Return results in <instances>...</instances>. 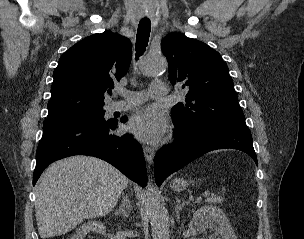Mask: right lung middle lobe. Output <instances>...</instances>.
Listing matches in <instances>:
<instances>
[{
	"label": "right lung middle lobe",
	"instance_id": "right-lung-middle-lobe-1",
	"mask_svg": "<svg viewBox=\"0 0 304 239\" xmlns=\"http://www.w3.org/2000/svg\"><path fill=\"white\" fill-rule=\"evenodd\" d=\"M104 113L105 111L103 110V108H97L72 115L47 118L44 121L43 127L50 125H57V124L95 123V122L106 121L104 119Z\"/></svg>",
	"mask_w": 304,
	"mask_h": 239
}]
</instances>
